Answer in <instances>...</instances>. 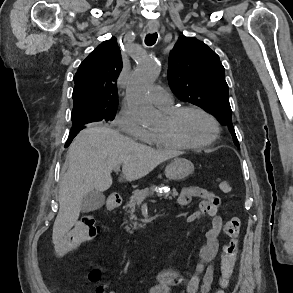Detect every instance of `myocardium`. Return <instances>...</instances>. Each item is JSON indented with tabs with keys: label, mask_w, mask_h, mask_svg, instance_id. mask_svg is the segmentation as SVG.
<instances>
[{
	"label": "myocardium",
	"mask_w": 293,
	"mask_h": 293,
	"mask_svg": "<svg viewBox=\"0 0 293 293\" xmlns=\"http://www.w3.org/2000/svg\"><path fill=\"white\" fill-rule=\"evenodd\" d=\"M190 111L200 113L201 115L206 117L213 127L212 136L202 143L187 142L175 130V125L181 118V116ZM167 119L169 120L170 127L167 130L161 132L162 136L181 146L182 148L203 149L215 143L220 136V126L217 119L211 113L198 106L186 105L172 109L168 112Z\"/></svg>",
	"instance_id": "f54148a6"
}]
</instances>
